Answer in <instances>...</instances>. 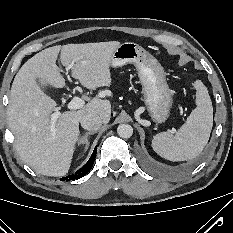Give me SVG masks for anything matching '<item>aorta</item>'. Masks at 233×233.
Here are the masks:
<instances>
[{
    "label": "aorta",
    "instance_id": "1",
    "mask_svg": "<svg viewBox=\"0 0 233 233\" xmlns=\"http://www.w3.org/2000/svg\"><path fill=\"white\" fill-rule=\"evenodd\" d=\"M117 133L122 138H129L133 134V128L129 124H120L117 128Z\"/></svg>",
    "mask_w": 233,
    "mask_h": 233
}]
</instances>
